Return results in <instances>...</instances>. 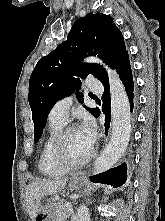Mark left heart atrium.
Segmentation results:
<instances>
[{
  "instance_id": "obj_1",
  "label": "left heart atrium",
  "mask_w": 165,
  "mask_h": 221,
  "mask_svg": "<svg viewBox=\"0 0 165 221\" xmlns=\"http://www.w3.org/2000/svg\"><path fill=\"white\" fill-rule=\"evenodd\" d=\"M82 134L91 145L94 144L96 137V127L94 121L90 117H85L79 127Z\"/></svg>"
}]
</instances>
